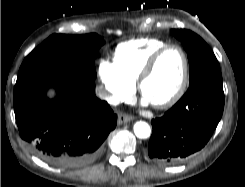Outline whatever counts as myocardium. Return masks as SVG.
Returning <instances> with one entry per match:
<instances>
[{
    "label": "myocardium",
    "mask_w": 245,
    "mask_h": 187,
    "mask_svg": "<svg viewBox=\"0 0 245 187\" xmlns=\"http://www.w3.org/2000/svg\"><path fill=\"white\" fill-rule=\"evenodd\" d=\"M176 49L180 52L182 60H183V71L180 83L176 89V91L168 97L166 100L152 104V106L156 109L163 110L168 109L175 105L185 94L189 82V60L185 50L177 44H167L160 49H158L152 56L147 60L143 68L141 69L137 80H136V88L140 95H142V87L145 81L150 77L152 72L154 71L156 64L159 59L165 54L168 50Z\"/></svg>",
    "instance_id": "f54148a6"
}]
</instances>
